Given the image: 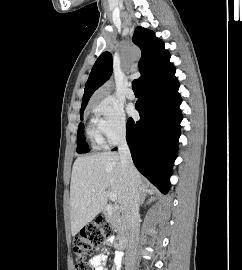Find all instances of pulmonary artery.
<instances>
[{"label": "pulmonary artery", "mask_w": 242, "mask_h": 270, "mask_svg": "<svg viewBox=\"0 0 242 270\" xmlns=\"http://www.w3.org/2000/svg\"><path fill=\"white\" fill-rule=\"evenodd\" d=\"M126 96L128 99L132 100L135 98V92L133 91L132 88H128L126 91Z\"/></svg>", "instance_id": "1"}]
</instances>
